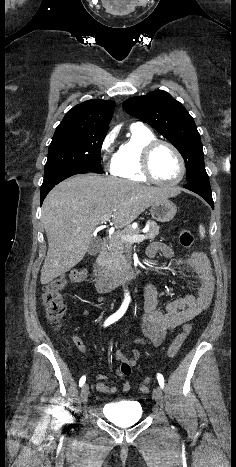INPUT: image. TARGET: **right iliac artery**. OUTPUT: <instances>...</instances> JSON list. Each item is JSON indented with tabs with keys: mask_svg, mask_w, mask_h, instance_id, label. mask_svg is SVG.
<instances>
[{
	"mask_svg": "<svg viewBox=\"0 0 236 467\" xmlns=\"http://www.w3.org/2000/svg\"><path fill=\"white\" fill-rule=\"evenodd\" d=\"M128 308V303L124 302L121 307L119 308V310L114 313L113 315H111L104 323V327H107L109 326L110 324L114 323L115 321L119 320L123 315L124 313L126 312ZM86 381V376H82L80 381H79V386L82 387L84 385Z\"/></svg>",
	"mask_w": 236,
	"mask_h": 467,
	"instance_id": "obj_1",
	"label": "right iliac artery"
}]
</instances>
